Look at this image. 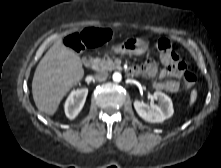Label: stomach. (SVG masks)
Returning <instances> with one entry per match:
<instances>
[{
  "label": "stomach",
  "instance_id": "0dacf381",
  "mask_svg": "<svg viewBox=\"0 0 221 168\" xmlns=\"http://www.w3.org/2000/svg\"><path fill=\"white\" fill-rule=\"evenodd\" d=\"M115 53L142 55L148 50V43L140 38H127L122 43L111 49Z\"/></svg>",
  "mask_w": 221,
  "mask_h": 168
}]
</instances>
